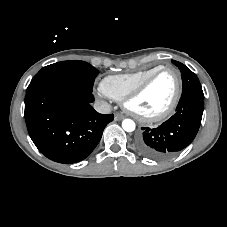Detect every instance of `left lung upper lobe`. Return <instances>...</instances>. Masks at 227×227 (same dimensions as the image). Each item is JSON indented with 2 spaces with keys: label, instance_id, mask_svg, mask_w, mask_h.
I'll return each mask as SVG.
<instances>
[{
  "label": "left lung upper lobe",
  "instance_id": "1",
  "mask_svg": "<svg viewBox=\"0 0 227 227\" xmlns=\"http://www.w3.org/2000/svg\"><path fill=\"white\" fill-rule=\"evenodd\" d=\"M172 63L181 71L183 82L182 94L189 91L203 92L197 76L189 68L175 60H172Z\"/></svg>",
  "mask_w": 227,
  "mask_h": 227
}]
</instances>
